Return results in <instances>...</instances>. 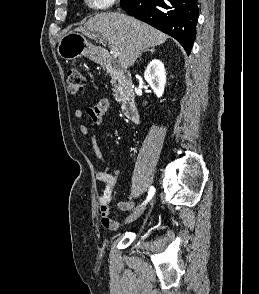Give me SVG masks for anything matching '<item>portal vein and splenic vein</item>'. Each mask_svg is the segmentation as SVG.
<instances>
[{
	"mask_svg": "<svg viewBox=\"0 0 259 294\" xmlns=\"http://www.w3.org/2000/svg\"><path fill=\"white\" fill-rule=\"evenodd\" d=\"M111 53H112V55H113L114 58L119 57V54H120V52L118 51V49L115 48V47H112L111 48Z\"/></svg>",
	"mask_w": 259,
	"mask_h": 294,
	"instance_id": "18ae733b",
	"label": "portal vein and splenic vein"
}]
</instances>
